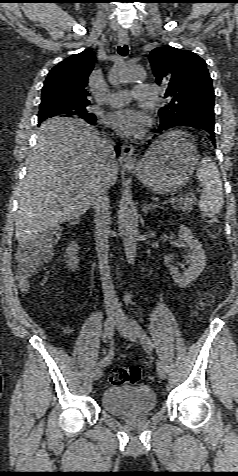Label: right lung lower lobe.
Wrapping results in <instances>:
<instances>
[{"mask_svg":"<svg viewBox=\"0 0 238 476\" xmlns=\"http://www.w3.org/2000/svg\"><path fill=\"white\" fill-rule=\"evenodd\" d=\"M39 124H40V122H39ZM115 150H116L117 155H119V149H118V147H116Z\"/></svg>","mask_w":238,"mask_h":476,"instance_id":"right-lung-lower-lobe-1","label":"right lung lower lobe"}]
</instances>
